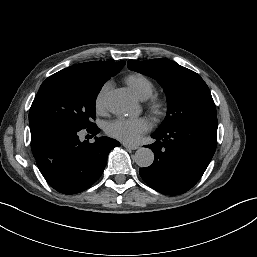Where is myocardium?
Here are the masks:
<instances>
[{"instance_id": "1", "label": "myocardium", "mask_w": 257, "mask_h": 257, "mask_svg": "<svg viewBox=\"0 0 257 257\" xmlns=\"http://www.w3.org/2000/svg\"><path fill=\"white\" fill-rule=\"evenodd\" d=\"M147 107L152 114H154L155 116H159L163 112L164 103L159 98H152L148 102Z\"/></svg>"}]
</instances>
